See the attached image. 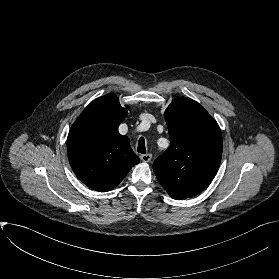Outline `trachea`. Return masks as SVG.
Listing matches in <instances>:
<instances>
[{
    "label": "trachea",
    "mask_w": 279,
    "mask_h": 279,
    "mask_svg": "<svg viewBox=\"0 0 279 279\" xmlns=\"http://www.w3.org/2000/svg\"><path fill=\"white\" fill-rule=\"evenodd\" d=\"M137 151L142 154L146 153L145 139L143 137H140L138 141Z\"/></svg>",
    "instance_id": "3493384b"
}]
</instances>
